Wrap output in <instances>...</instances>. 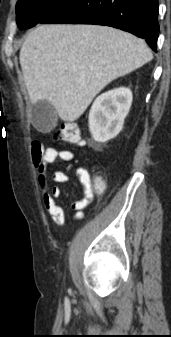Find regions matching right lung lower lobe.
I'll list each match as a JSON object with an SVG mask.
<instances>
[{"label": "right lung lower lobe", "instance_id": "obj_1", "mask_svg": "<svg viewBox=\"0 0 171 337\" xmlns=\"http://www.w3.org/2000/svg\"><path fill=\"white\" fill-rule=\"evenodd\" d=\"M158 0H67L41 23L107 25L145 39L156 51Z\"/></svg>", "mask_w": 171, "mask_h": 337}]
</instances>
